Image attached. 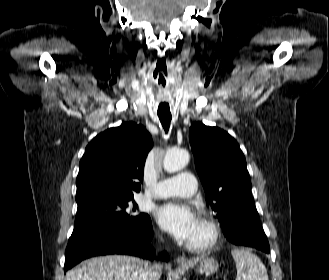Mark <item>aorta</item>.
<instances>
[{
  "label": "aorta",
  "mask_w": 329,
  "mask_h": 280,
  "mask_svg": "<svg viewBox=\"0 0 329 280\" xmlns=\"http://www.w3.org/2000/svg\"><path fill=\"white\" fill-rule=\"evenodd\" d=\"M189 153L183 149H169L163 160L164 170L174 173L183 169L189 162Z\"/></svg>",
  "instance_id": "obj_1"
}]
</instances>
